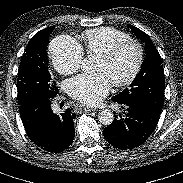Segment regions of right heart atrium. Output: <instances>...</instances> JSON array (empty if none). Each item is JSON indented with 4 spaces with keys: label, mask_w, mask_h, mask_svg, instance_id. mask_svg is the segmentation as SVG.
<instances>
[{
    "label": "right heart atrium",
    "mask_w": 183,
    "mask_h": 183,
    "mask_svg": "<svg viewBox=\"0 0 183 183\" xmlns=\"http://www.w3.org/2000/svg\"><path fill=\"white\" fill-rule=\"evenodd\" d=\"M50 54L54 68L62 75H70L79 70L84 51L73 37L61 35L52 41Z\"/></svg>",
    "instance_id": "d8ad5b80"
}]
</instances>
